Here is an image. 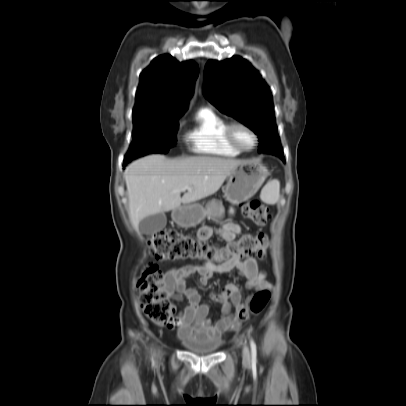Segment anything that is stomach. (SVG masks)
<instances>
[{
    "label": "stomach",
    "mask_w": 406,
    "mask_h": 406,
    "mask_svg": "<svg viewBox=\"0 0 406 406\" xmlns=\"http://www.w3.org/2000/svg\"><path fill=\"white\" fill-rule=\"evenodd\" d=\"M268 175L267 168L261 163L245 161L227 177L226 200L232 204L248 200L258 191ZM223 214V205L217 200H211L206 207L195 203L176 208L172 212V218L180 226L193 227L207 216L219 219Z\"/></svg>",
    "instance_id": "stomach-1"
}]
</instances>
